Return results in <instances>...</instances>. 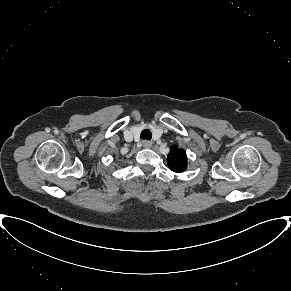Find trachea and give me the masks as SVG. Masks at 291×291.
Masks as SVG:
<instances>
[{"instance_id": "obj_1", "label": "trachea", "mask_w": 291, "mask_h": 291, "mask_svg": "<svg viewBox=\"0 0 291 291\" xmlns=\"http://www.w3.org/2000/svg\"><path fill=\"white\" fill-rule=\"evenodd\" d=\"M141 139H145V140H151L152 138V133L149 129H144L142 132H141V135H140Z\"/></svg>"}]
</instances>
